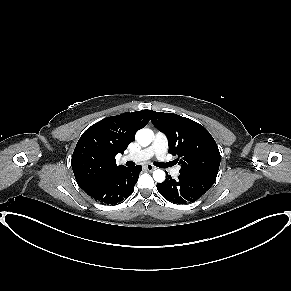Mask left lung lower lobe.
<instances>
[{"label": "left lung lower lobe", "instance_id": "1", "mask_svg": "<svg viewBox=\"0 0 291 291\" xmlns=\"http://www.w3.org/2000/svg\"><path fill=\"white\" fill-rule=\"evenodd\" d=\"M215 180L216 178L208 175L180 173L177 180L168 175L163 183L157 184V189L169 202L186 204L199 199Z\"/></svg>", "mask_w": 291, "mask_h": 291}]
</instances>
